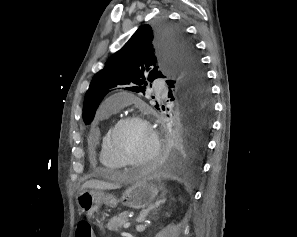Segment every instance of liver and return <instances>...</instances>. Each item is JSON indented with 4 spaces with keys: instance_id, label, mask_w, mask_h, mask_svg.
Listing matches in <instances>:
<instances>
[{
    "instance_id": "liver-1",
    "label": "liver",
    "mask_w": 297,
    "mask_h": 237,
    "mask_svg": "<svg viewBox=\"0 0 297 237\" xmlns=\"http://www.w3.org/2000/svg\"><path fill=\"white\" fill-rule=\"evenodd\" d=\"M95 189V190H111L119 188L118 185L111 184L100 180H89L82 185V189Z\"/></svg>"
}]
</instances>
